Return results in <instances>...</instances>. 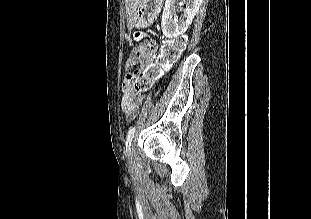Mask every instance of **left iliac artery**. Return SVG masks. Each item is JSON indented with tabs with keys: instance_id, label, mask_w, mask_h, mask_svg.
<instances>
[{
	"instance_id": "44dca946",
	"label": "left iliac artery",
	"mask_w": 311,
	"mask_h": 219,
	"mask_svg": "<svg viewBox=\"0 0 311 219\" xmlns=\"http://www.w3.org/2000/svg\"><path fill=\"white\" fill-rule=\"evenodd\" d=\"M134 133H135V127H132L129 129L128 133H127V138H126V151L130 150V146H131V141L134 137Z\"/></svg>"
}]
</instances>
